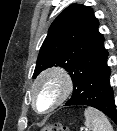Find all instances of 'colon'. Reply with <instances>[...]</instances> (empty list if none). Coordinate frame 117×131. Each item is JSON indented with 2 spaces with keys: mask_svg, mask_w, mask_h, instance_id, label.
Returning <instances> with one entry per match:
<instances>
[{
  "mask_svg": "<svg viewBox=\"0 0 117 131\" xmlns=\"http://www.w3.org/2000/svg\"><path fill=\"white\" fill-rule=\"evenodd\" d=\"M39 131H69L68 127L61 124H48Z\"/></svg>",
  "mask_w": 117,
  "mask_h": 131,
  "instance_id": "colon-1",
  "label": "colon"
}]
</instances>
